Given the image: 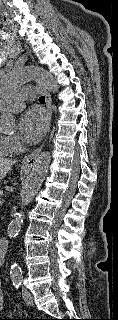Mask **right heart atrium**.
Listing matches in <instances>:
<instances>
[{
    "label": "right heart atrium",
    "instance_id": "obj_1",
    "mask_svg": "<svg viewBox=\"0 0 118 320\" xmlns=\"http://www.w3.org/2000/svg\"><path fill=\"white\" fill-rule=\"evenodd\" d=\"M9 144L12 148V151H17L21 148V144L19 142V140L15 137H9L8 138Z\"/></svg>",
    "mask_w": 118,
    "mask_h": 320
}]
</instances>
